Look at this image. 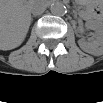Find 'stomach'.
Returning <instances> with one entry per match:
<instances>
[{"label":"stomach","mask_w":103,"mask_h":103,"mask_svg":"<svg viewBox=\"0 0 103 103\" xmlns=\"http://www.w3.org/2000/svg\"><path fill=\"white\" fill-rule=\"evenodd\" d=\"M83 5H86L87 6V9H91V7L93 6V3L91 1H87V0H84L81 2Z\"/></svg>","instance_id":"0dacf381"}]
</instances>
